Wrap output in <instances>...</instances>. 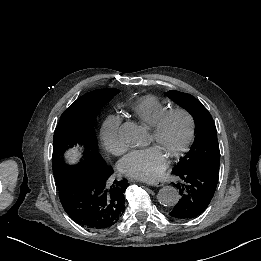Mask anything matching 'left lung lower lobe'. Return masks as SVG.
Instances as JSON below:
<instances>
[{
	"label": "left lung lower lobe",
	"mask_w": 261,
	"mask_h": 261,
	"mask_svg": "<svg viewBox=\"0 0 261 261\" xmlns=\"http://www.w3.org/2000/svg\"><path fill=\"white\" fill-rule=\"evenodd\" d=\"M179 177L176 185L180 199L169 215L176 219H191L199 216L208 207L218 183V173L191 168L172 170Z\"/></svg>",
	"instance_id": "0a47b994"
}]
</instances>
